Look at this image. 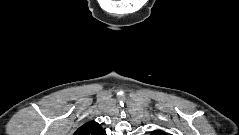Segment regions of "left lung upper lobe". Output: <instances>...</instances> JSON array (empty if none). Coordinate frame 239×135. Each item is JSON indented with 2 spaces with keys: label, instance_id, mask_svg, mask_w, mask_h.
Instances as JSON below:
<instances>
[{
  "label": "left lung upper lobe",
  "instance_id": "left-lung-upper-lobe-1",
  "mask_svg": "<svg viewBox=\"0 0 239 135\" xmlns=\"http://www.w3.org/2000/svg\"><path fill=\"white\" fill-rule=\"evenodd\" d=\"M153 135H165V132L161 130H155L153 131Z\"/></svg>",
  "mask_w": 239,
  "mask_h": 135
}]
</instances>
